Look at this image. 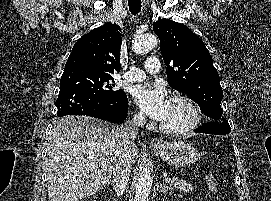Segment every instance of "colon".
<instances>
[{"label": "colon", "instance_id": "colon-1", "mask_svg": "<svg viewBox=\"0 0 271 201\" xmlns=\"http://www.w3.org/2000/svg\"><path fill=\"white\" fill-rule=\"evenodd\" d=\"M209 181H210V184L213 185V176L212 175L210 176Z\"/></svg>", "mask_w": 271, "mask_h": 201}]
</instances>
